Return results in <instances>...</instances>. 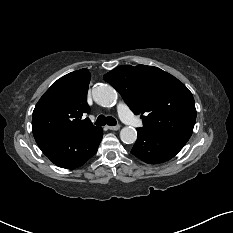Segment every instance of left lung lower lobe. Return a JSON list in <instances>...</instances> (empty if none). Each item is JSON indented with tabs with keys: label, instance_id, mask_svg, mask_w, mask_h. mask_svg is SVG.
I'll return each instance as SVG.
<instances>
[{
	"label": "left lung lower lobe",
	"instance_id": "left-lung-lower-lobe-1",
	"mask_svg": "<svg viewBox=\"0 0 233 233\" xmlns=\"http://www.w3.org/2000/svg\"><path fill=\"white\" fill-rule=\"evenodd\" d=\"M138 138L131 153L148 164H158L174 157L186 144V140L155 134L137 128Z\"/></svg>",
	"mask_w": 233,
	"mask_h": 233
}]
</instances>
